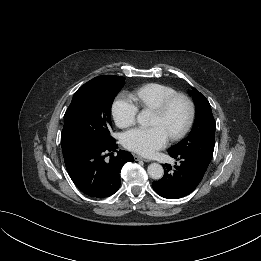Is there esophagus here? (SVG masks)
<instances>
[{"label":"esophagus","mask_w":261,"mask_h":261,"mask_svg":"<svg viewBox=\"0 0 261 261\" xmlns=\"http://www.w3.org/2000/svg\"><path fill=\"white\" fill-rule=\"evenodd\" d=\"M134 159H135V161L142 160V161H145V162H149L148 159L143 158V157H141V156H139V155H134Z\"/></svg>","instance_id":"esophagus-1"}]
</instances>
